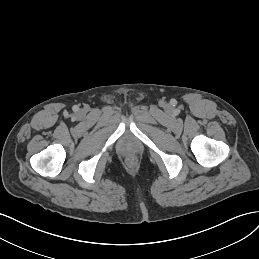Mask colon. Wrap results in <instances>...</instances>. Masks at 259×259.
Segmentation results:
<instances>
[{
    "label": "colon",
    "mask_w": 259,
    "mask_h": 259,
    "mask_svg": "<svg viewBox=\"0 0 259 259\" xmlns=\"http://www.w3.org/2000/svg\"><path fill=\"white\" fill-rule=\"evenodd\" d=\"M130 162H134V158H130Z\"/></svg>",
    "instance_id": "5ec220e1"
}]
</instances>
